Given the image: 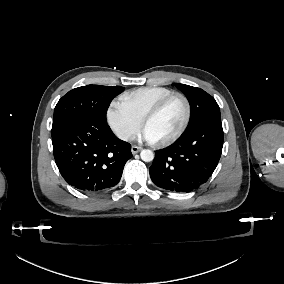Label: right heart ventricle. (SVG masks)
<instances>
[{
	"label": "right heart ventricle",
	"instance_id": "obj_1",
	"mask_svg": "<svg viewBox=\"0 0 284 284\" xmlns=\"http://www.w3.org/2000/svg\"><path fill=\"white\" fill-rule=\"evenodd\" d=\"M172 93L175 92L167 87L143 86L123 93L119 104L142 120L148 110Z\"/></svg>",
	"mask_w": 284,
	"mask_h": 284
}]
</instances>
